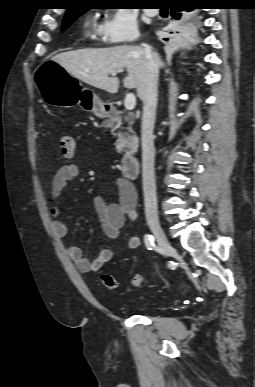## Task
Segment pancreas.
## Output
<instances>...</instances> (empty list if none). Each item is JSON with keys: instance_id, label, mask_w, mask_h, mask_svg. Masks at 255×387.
<instances>
[{"instance_id": "obj_1", "label": "pancreas", "mask_w": 255, "mask_h": 387, "mask_svg": "<svg viewBox=\"0 0 255 387\" xmlns=\"http://www.w3.org/2000/svg\"><path fill=\"white\" fill-rule=\"evenodd\" d=\"M128 121V131L118 135V139L116 141V150L120 153L124 152L126 154H133L137 151L138 148V139L134 135L132 130L133 120L131 118H127ZM105 125L114 127V121L109 119L105 121ZM122 125L121 120H119L115 126V128H119Z\"/></svg>"}]
</instances>
